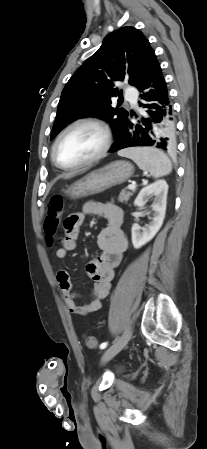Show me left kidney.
<instances>
[{
  "label": "left kidney",
  "instance_id": "1",
  "mask_svg": "<svg viewBox=\"0 0 207 449\" xmlns=\"http://www.w3.org/2000/svg\"><path fill=\"white\" fill-rule=\"evenodd\" d=\"M167 193L168 184L165 180H158L147 185L139 192L134 202V205L138 206L139 209L144 207L148 198L152 196H155V198L154 203L151 206L153 218L149 225L141 228L136 223L132 227V244L135 249H139L148 243L160 230L165 218Z\"/></svg>",
  "mask_w": 207,
  "mask_h": 449
}]
</instances>
